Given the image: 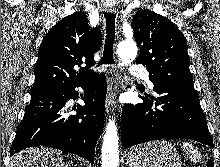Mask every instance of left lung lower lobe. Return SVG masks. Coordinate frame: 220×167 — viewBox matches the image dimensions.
Masks as SVG:
<instances>
[{
  "label": "left lung lower lobe",
  "instance_id": "0a47b994",
  "mask_svg": "<svg viewBox=\"0 0 220 167\" xmlns=\"http://www.w3.org/2000/svg\"><path fill=\"white\" fill-rule=\"evenodd\" d=\"M157 95L139 97L142 104H128L122 116V146L128 148L162 138H188L213 148L199 97L194 88L175 84L154 87Z\"/></svg>",
  "mask_w": 220,
  "mask_h": 167
}]
</instances>
